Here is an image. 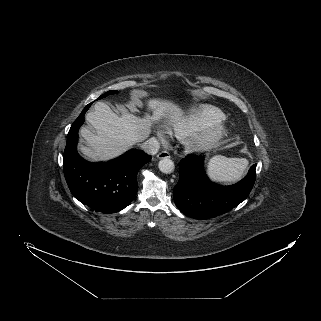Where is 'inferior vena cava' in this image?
I'll use <instances>...</instances> for the list:
<instances>
[{"label": "inferior vena cava", "instance_id": "obj_1", "mask_svg": "<svg viewBox=\"0 0 321 321\" xmlns=\"http://www.w3.org/2000/svg\"><path fill=\"white\" fill-rule=\"evenodd\" d=\"M142 150L150 155H155L159 151V143L154 138H150L147 141L140 144Z\"/></svg>", "mask_w": 321, "mask_h": 321}]
</instances>
